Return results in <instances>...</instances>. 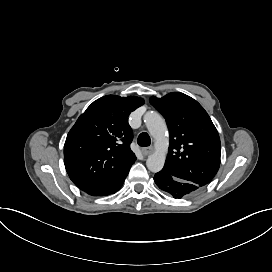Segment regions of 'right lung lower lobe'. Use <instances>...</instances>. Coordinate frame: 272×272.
Here are the masks:
<instances>
[{
	"label": "right lung lower lobe",
	"instance_id": "98d812e1",
	"mask_svg": "<svg viewBox=\"0 0 272 272\" xmlns=\"http://www.w3.org/2000/svg\"><path fill=\"white\" fill-rule=\"evenodd\" d=\"M129 170L130 168L108 183H105L100 186L88 188L83 191L91 196H107V195L113 194L122 187L124 180L126 176L128 175Z\"/></svg>",
	"mask_w": 272,
	"mask_h": 272
}]
</instances>
